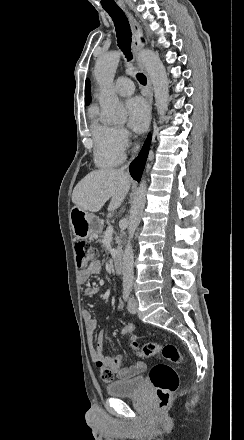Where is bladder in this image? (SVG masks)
Here are the masks:
<instances>
[{"mask_svg":"<svg viewBox=\"0 0 244 440\" xmlns=\"http://www.w3.org/2000/svg\"><path fill=\"white\" fill-rule=\"evenodd\" d=\"M144 389V377L138 376L108 384L107 394L116 396H134L140 395Z\"/></svg>","mask_w":244,"mask_h":440,"instance_id":"obj_1","label":"bladder"}]
</instances>
